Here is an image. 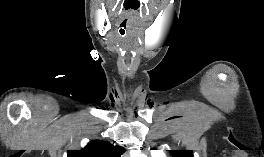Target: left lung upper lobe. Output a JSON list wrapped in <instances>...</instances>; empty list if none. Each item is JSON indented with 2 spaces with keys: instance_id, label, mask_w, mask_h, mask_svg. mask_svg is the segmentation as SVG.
<instances>
[{
  "instance_id": "obj_1",
  "label": "left lung upper lobe",
  "mask_w": 264,
  "mask_h": 157,
  "mask_svg": "<svg viewBox=\"0 0 264 157\" xmlns=\"http://www.w3.org/2000/svg\"><path fill=\"white\" fill-rule=\"evenodd\" d=\"M173 157H193L191 150H170Z\"/></svg>"
}]
</instances>
